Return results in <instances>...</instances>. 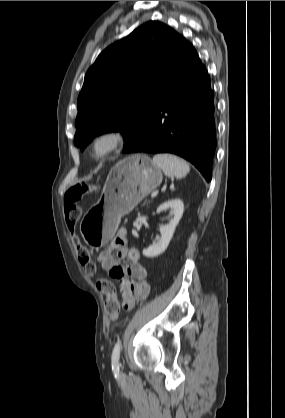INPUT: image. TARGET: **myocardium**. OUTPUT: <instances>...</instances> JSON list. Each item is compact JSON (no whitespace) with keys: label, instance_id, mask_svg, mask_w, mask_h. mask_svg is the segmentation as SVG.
Here are the masks:
<instances>
[{"label":"myocardium","instance_id":"1","mask_svg":"<svg viewBox=\"0 0 285 418\" xmlns=\"http://www.w3.org/2000/svg\"><path fill=\"white\" fill-rule=\"evenodd\" d=\"M123 144L124 135L122 132L114 129L103 130L91 139L90 155L96 161H103L119 151Z\"/></svg>","mask_w":285,"mask_h":418}]
</instances>
